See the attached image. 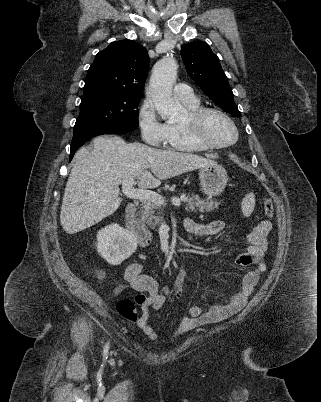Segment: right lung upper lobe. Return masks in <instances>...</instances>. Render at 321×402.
<instances>
[{
  "mask_svg": "<svg viewBox=\"0 0 321 402\" xmlns=\"http://www.w3.org/2000/svg\"><path fill=\"white\" fill-rule=\"evenodd\" d=\"M149 63L147 50L133 40L111 43L90 66L84 89H103L141 96Z\"/></svg>",
  "mask_w": 321,
  "mask_h": 402,
  "instance_id": "obj_1",
  "label": "right lung upper lobe"
}]
</instances>
